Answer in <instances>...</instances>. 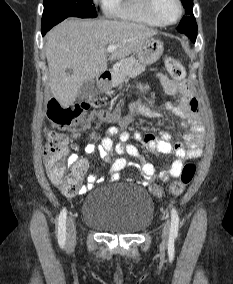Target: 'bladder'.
I'll return each instance as SVG.
<instances>
[{"instance_id": "obj_1", "label": "bladder", "mask_w": 233, "mask_h": 284, "mask_svg": "<svg viewBox=\"0 0 233 284\" xmlns=\"http://www.w3.org/2000/svg\"><path fill=\"white\" fill-rule=\"evenodd\" d=\"M154 210V202L145 189L117 185L97 189L87 195L83 205V221L101 232L138 234L151 225Z\"/></svg>"}]
</instances>
